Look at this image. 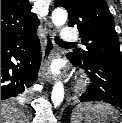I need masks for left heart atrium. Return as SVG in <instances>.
Wrapping results in <instances>:
<instances>
[{"instance_id":"obj_1","label":"left heart atrium","mask_w":122,"mask_h":123,"mask_svg":"<svg viewBox=\"0 0 122 123\" xmlns=\"http://www.w3.org/2000/svg\"><path fill=\"white\" fill-rule=\"evenodd\" d=\"M58 69H59V65H58L57 63H54V64L52 65V67H51V71H53V72H57Z\"/></svg>"}]
</instances>
